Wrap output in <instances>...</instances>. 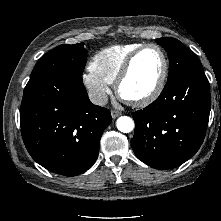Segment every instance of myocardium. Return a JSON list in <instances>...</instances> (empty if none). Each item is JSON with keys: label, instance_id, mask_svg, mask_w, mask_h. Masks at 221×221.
I'll return each instance as SVG.
<instances>
[{"label": "myocardium", "instance_id": "myocardium-1", "mask_svg": "<svg viewBox=\"0 0 221 221\" xmlns=\"http://www.w3.org/2000/svg\"><path fill=\"white\" fill-rule=\"evenodd\" d=\"M147 48L157 49L162 57V71H161L160 77L158 79V82H157L156 86L154 87V89L146 96H144L142 98H138V99L126 98L121 91L122 85H123L124 81L130 75L136 58L140 55V53H142ZM168 70H169V62H168L167 55H166L165 51L163 50V48L155 43L143 44L140 47H138L137 49H135L126 59L124 65H123V67H122V69H121L120 73L118 74L116 81H115L116 93L122 100H124L125 102L132 104L136 107L148 106L149 104L153 103L163 92L165 85H166L167 77H168Z\"/></svg>", "mask_w": 221, "mask_h": 221}]
</instances>
